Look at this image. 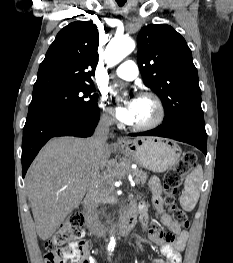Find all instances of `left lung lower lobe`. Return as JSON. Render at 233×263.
Segmentation results:
<instances>
[{
  "label": "left lung lower lobe",
  "instance_id": "left-lung-lower-lobe-1",
  "mask_svg": "<svg viewBox=\"0 0 233 263\" xmlns=\"http://www.w3.org/2000/svg\"><path fill=\"white\" fill-rule=\"evenodd\" d=\"M140 135L171 138L194 145L204 154L207 153V134L205 131V124L201 121L185 120L172 123H163L153 130L130 134V136Z\"/></svg>",
  "mask_w": 233,
  "mask_h": 263
}]
</instances>
